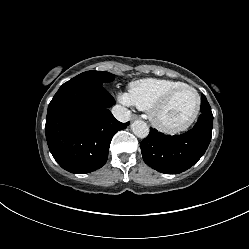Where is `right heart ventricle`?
Returning a JSON list of instances; mask_svg holds the SVG:
<instances>
[{
	"instance_id": "right-heart-ventricle-1",
	"label": "right heart ventricle",
	"mask_w": 249,
	"mask_h": 249,
	"mask_svg": "<svg viewBox=\"0 0 249 249\" xmlns=\"http://www.w3.org/2000/svg\"><path fill=\"white\" fill-rule=\"evenodd\" d=\"M184 84L171 79L145 78L134 81L129 86L131 103L142 110H148L170 89Z\"/></svg>"
}]
</instances>
